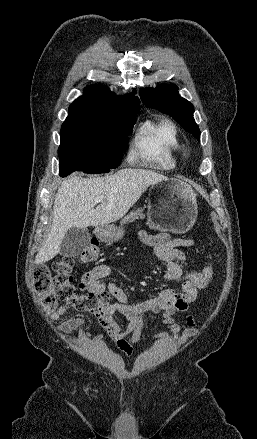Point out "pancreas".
<instances>
[{
    "label": "pancreas",
    "mask_w": 257,
    "mask_h": 439,
    "mask_svg": "<svg viewBox=\"0 0 257 439\" xmlns=\"http://www.w3.org/2000/svg\"><path fill=\"white\" fill-rule=\"evenodd\" d=\"M144 209L143 208H139L136 211L130 212L127 216H125L121 221V225L122 224H129L131 222H134L137 219H144L145 215L143 214Z\"/></svg>",
    "instance_id": "pancreas-1"
}]
</instances>
